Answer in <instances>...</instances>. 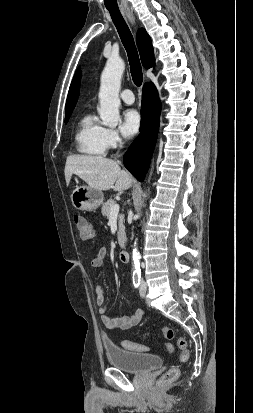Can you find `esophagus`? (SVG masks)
<instances>
[{
  "mask_svg": "<svg viewBox=\"0 0 253 413\" xmlns=\"http://www.w3.org/2000/svg\"><path fill=\"white\" fill-rule=\"evenodd\" d=\"M125 15L127 16V18L129 19V21L131 22L132 25L135 24V17L133 15V13L131 12H126Z\"/></svg>",
  "mask_w": 253,
  "mask_h": 413,
  "instance_id": "34e87169",
  "label": "esophagus"
}]
</instances>
